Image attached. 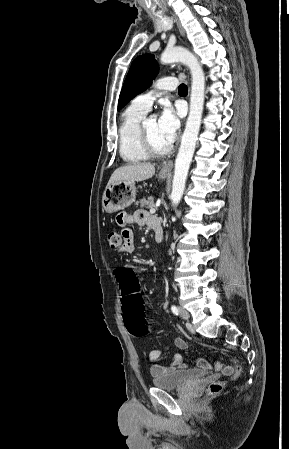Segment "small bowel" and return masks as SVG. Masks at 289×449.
I'll use <instances>...</instances> for the list:
<instances>
[{
    "mask_svg": "<svg viewBox=\"0 0 289 449\" xmlns=\"http://www.w3.org/2000/svg\"><path fill=\"white\" fill-rule=\"evenodd\" d=\"M117 221L118 224L123 228L122 235L124 242L122 247L120 248V252L122 253H132L135 250L134 234L133 231L127 227V225L135 223L153 229V227L156 224H160V220L158 217L151 215L145 211H136L134 213L123 212L118 216ZM120 268H130V267H120ZM174 344L178 349L182 351L187 349V343L182 338L179 337L175 338ZM165 347L168 349L170 346L167 344ZM161 354H162L161 350H152L148 355V361L149 362L157 361L160 358ZM196 365L202 369H209L212 366L210 361L203 358L198 359L196 361ZM187 366L188 365L183 361L182 354L177 353L174 355L171 363H169L168 365L154 364L150 367V372L153 376H158L179 368H185ZM215 366L223 375H230L233 372V368L231 366L224 365L221 363H216Z\"/></svg>",
    "mask_w": 289,
    "mask_h": 449,
    "instance_id": "small-bowel-1",
    "label": "small bowel"
}]
</instances>
